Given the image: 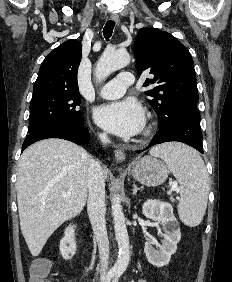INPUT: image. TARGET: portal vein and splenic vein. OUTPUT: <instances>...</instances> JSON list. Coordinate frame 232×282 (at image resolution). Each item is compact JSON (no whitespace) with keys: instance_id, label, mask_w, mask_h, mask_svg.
<instances>
[{"instance_id":"1","label":"portal vein and splenic vein","mask_w":232,"mask_h":282,"mask_svg":"<svg viewBox=\"0 0 232 282\" xmlns=\"http://www.w3.org/2000/svg\"><path fill=\"white\" fill-rule=\"evenodd\" d=\"M172 190H173V191H176V192L179 191V188H178V186H177L176 183H173V184H172ZM68 195H69V193H62V196H64V197H66V196H68Z\"/></svg>"}]
</instances>
